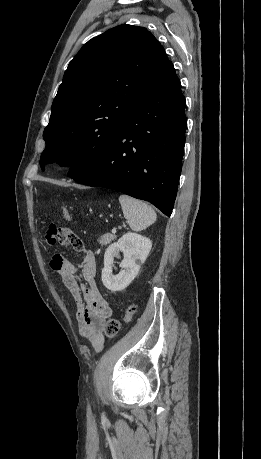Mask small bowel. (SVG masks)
Returning <instances> with one entry per match:
<instances>
[{
  "label": "small bowel",
  "instance_id": "small-bowel-1",
  "mask_svg": "<svg viewBox=\"0 0 261 459\" xmlns=\"http://www.w3.org/2000/svg\"><path fill=\"white\" fill-rule=\"evenodd\" d=\"M45 237L50 245L56 242L67 244L82 255L79 268L60 253L53 255L50 264L75 300L80 334L89 341L95 352H100L104 345L103 327L111 317L112 309L95 281V257L83 247L81 239L67 228L50 226Z\"/></svg>",
  "mask_w": 261,
  "mask_h": 459
}]
</instances>
